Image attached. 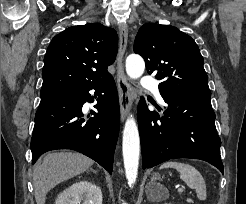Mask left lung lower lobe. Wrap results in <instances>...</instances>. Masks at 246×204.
Returning a JSON list of instances; mask_svg holds the SVG:
<instances>
[{
  "instance_id": "left-lung-lower-lobe-1",
  "label": "left lung lower lobe",
  "mask_w": 246,
  "mask_h": 204,
  "mask_svg": "<svg viewBox=\"0 0 246 204\" xmlns=\"http://www.w3.org/2000/svg\"><path fill=\"white\" fill-rule=\"evenodd\" d=\"M168 104L164 117L141 99L138 105V125L142 148L143 169L175 158L207 161L223 173L220 158L221 140L214 124L211 95L162 92Z\"/></svg>"
}]
</instances>
